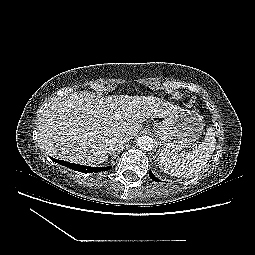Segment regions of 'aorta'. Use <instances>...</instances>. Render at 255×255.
<instances>
[{
    "mask_svg": "<svg viewBox=\"0 0 255 255\" xmlns=\"http://www.w3.org/2000/svg\"><path fill=\"white\" fill-rule=\"evenodd\" d=\"M153 139L149 136H141L137 139V145L143 151H150L153 148Z\"/></svg>",
    "mask_w": 255,
    "mask_h": 255,
    "instance_id": "762f6f07",
    "label": "aorta"
}]
</instances>
